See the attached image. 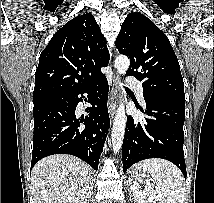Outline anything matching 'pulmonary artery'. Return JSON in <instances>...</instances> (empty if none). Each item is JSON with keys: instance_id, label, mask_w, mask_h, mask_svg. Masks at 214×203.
Returning a JSON list of instances; mask_svg holds the SVG:
<instances>
[{"instance_id": "obj_1", "label": "pulmonary artery", "mask_w": 214, "mask_h": 203, "mask_svg": "<svg viewBox=\"0 0 214 203\" xmlns=\"http://www.w3.org/2000/svg\"><path fill=\"white\" fill-rule=\"evenodd\" d=\"M127 83L129 86H131L133 89L136 90V93L139 97V99L143 102L144 101V96H143V87L140 81H138L135 78H128Z\"/></svg>"}]
</instances>
